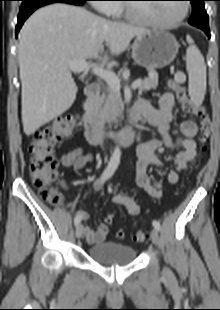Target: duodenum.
<instances>
[{
    "mask_svg": "<svg viewBox=\"0 0 220 310\" xmlns=\"http://www.w3.org/2000/svg\"><path fill=\"white\" fill-rule=\"evenodd\" d=\"M100 92V86L97 83H91L85 89V99L82 104L81 123L84 135L90 144L96 145L104 136L109 137L114 143L122 146L130 145L135 139L134 124L139 117V113L135 109L129 112V123L120 131L105 130L94 110L95 100Z\"/></svg>",
    "mask_w": 220,
    "mask_h": 310,
    "instance_id": "obj_1",
    "label": "duodenum"
}]
</instances>
